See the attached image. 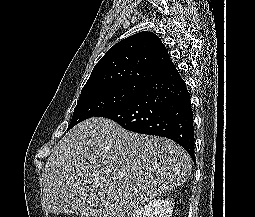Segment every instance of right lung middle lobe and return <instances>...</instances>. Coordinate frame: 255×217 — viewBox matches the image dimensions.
<instances>
[{
    "label": "right lung middle lobe",
    "instance_id": "obj_1",
    "mask_svg": "<svg viewBox=\"0 0 255 217\" xmlns=\"http://www.w3.org/2000/svg\"><path fill=\"white\" fill-rule=\"evenodd\" d=\"M145 88L146 85L140 84H112L82 91L68 130L90 117L129 102Z\"/></svg>",
    "mask_w": 255,
    "mask_h": 217
}]
</instances>
